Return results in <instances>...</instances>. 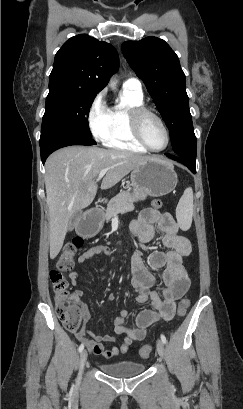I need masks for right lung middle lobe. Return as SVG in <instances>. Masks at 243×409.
Instances as JSON below:
<instances>
[{
    "instance_id": "1",
    "label": "right lung middle lobe",
    "mask_w": 243,
    "mask_h": 409,
    "mask_svg": "<svg viewBox=\"0 0 243 409\" xmlns=\"http://www.w3.org/2000/svg\"><path fill=\"white\" fill-rule=\"evenodd\" d=\"M96 95L60 83L49 84L40 140L56 132L92 139L88 115Z\"/></svg>"
}]
</instances>
